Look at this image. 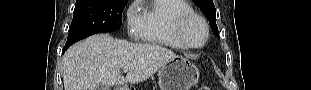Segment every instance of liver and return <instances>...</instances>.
<instances>
[{"instance_id": "1", "label": "liver", "mask_w": 311, "mask_h": 90, "mask_svg": "<svg viewBox=\"0 0 311 90\" xmlns=\"http://www.w3.org/2000/svg\"><path fill=\"white\" fill-rule=\"evenodd\" d=\"M171 50L155 44H133L97 34L72 45L63 58L65 90H96L107 86L136 84L153 76L174 59ZM128 67L123 77L121 70Z\"/></svg>"}]
</instances>
